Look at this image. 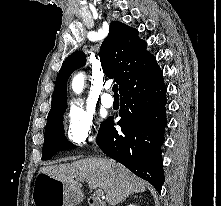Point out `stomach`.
I'll return each instance as SVG.
<instances>
[{"label": "stomach", "instance_id": "1", "mask_svg": "<svg viewBox=\"0 0 221 206\" xmlns=\"http://www.w3.org/2000/svg\"><path fill=\"white\" fill-rule=\"evenodd\" d=\"M32 200L34 206H75L82 200V193L77 187L39 173Z\"/></svg>", "mask_w": 221, "mask_h": 206}]
</instances>
